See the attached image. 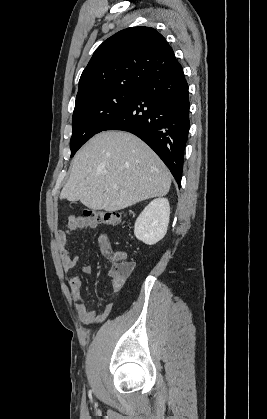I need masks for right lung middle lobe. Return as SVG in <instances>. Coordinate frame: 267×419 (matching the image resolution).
Returning a JSON list of instances; mask_svg holds the SVG:
<instances>
[{"label": "right lung middle lobe", "instance_id": "right-lung-middle-lobe-1", "mask_svg": "<svg viewBox=\"0 0 267 419\" xmlns=\"http://www.w3.org/2000/svg\"><path fill=\"white\" fill-rule=\"evenodd\" d=\"M140 86L132 85L104 91L75 103L70 140L71 157L92 136L117 117L133 99Z\"/></svg>", "mask_w": 267, "mask_h": 419}]
</instances>
